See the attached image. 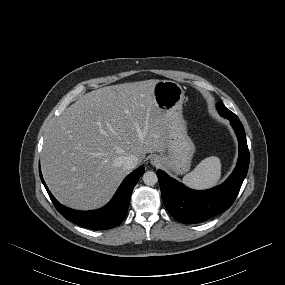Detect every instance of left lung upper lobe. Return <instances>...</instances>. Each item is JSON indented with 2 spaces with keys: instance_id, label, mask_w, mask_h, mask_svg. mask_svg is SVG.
Listing matches in <instances>:
<instances>
[{
  "instance_id": "5c2ea615",
  "label": "left lung upper lobe",
  "mask_w": 285,
  "mask_h": 285,
  "mask_svg": "<svg viewBox=\"0 0 285 285\" xmlns=\"http://www.w3.org/2000/svg\"><path fill=\"white\" fill-rule=\"evenodd\" d=\"M217 109L220 115L228 116V117H237L234 113H232L229 109H227L223 103L217 104Z\"/></svg>"
}]
</instances>
